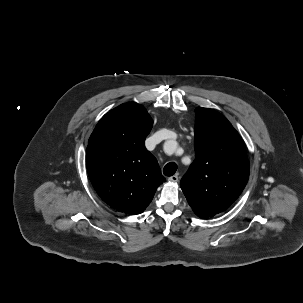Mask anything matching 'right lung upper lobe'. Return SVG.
Listing matches in <instances>:
<instances>
[{
	"instance_id": "1",
	"label": "right lung upper lobe",
	"mask_w": 303,
	"mask_h": 303,
	"mask_svg": "<svg viewBox=\"0 0 303 303\" xmlns=\"http://www.w3.org/2000/svg\"><path fill=\"white\" fill-rule=\"evenodd\" d=\"M152 124L142 105L129 102L106 113L89 138L90 181L101 199L119 212H143L165 181L144 144Z\"/></svg>"
}]
</instances>
